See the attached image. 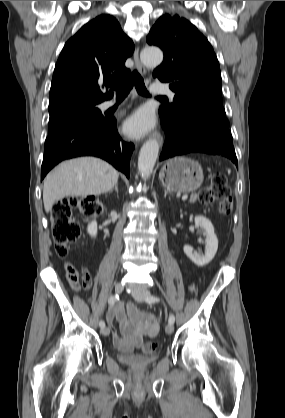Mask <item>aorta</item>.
<instances>
[{
    "instance_id": "762f6f07",
    "label": "aorta",
    "mask_w": 285,
    "mask_h": 418,
    "mask_svg": "<svg viewBox=\"0 0 285 418\" xmlns=\"http://www.w3.org/2000/svg\"><path fill=\"white\" fill-rule=\"evenodd\" d=\"M140 59L143 64L156 67L163 61V53L159 48L147 47L142 50ZM159 153L156 140H148L143 144L138 156V170L143 180H147L154 168Z\"/></svg>"
}]
</instances>
